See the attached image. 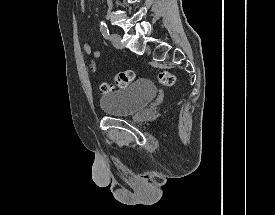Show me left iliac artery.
I'll return each mask as SVG.
<instances>
[{"mask_svg": "<svg viewBox=\"0 0 275 215\" xmlns=\"http://www.w3.org/2000/svg\"><path fill=\"white\" fill-rule=\"evenodd\" d=\"M100 31H101L103 37H105L106 39L109 37V30H108L107 25L104 21H101Z\"/></svg>", "mask_w": 275, "mask_h": 215, "instance_id": "left-iliac-artery-1", "label": "left iliac artery"}]
</instances>
